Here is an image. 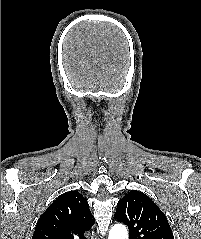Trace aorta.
Listing matches in <instances>:
<instances>
[{
  "mask_svg": "<svg viewBox=\"0 0 201 239\" xmlns=\"http://www.w3.org/2000/svg\"><path fill=\"white\" fill-rule=\"evenodd\" d=\"M108 239H128L126 227L122 224L114 225L109 232Z\"/></svg>",
  "mask_w": 201,
  "mask_h": 239,
  "instance_id": "obj_1",
  "label": "aorta"
}]
</instances>
